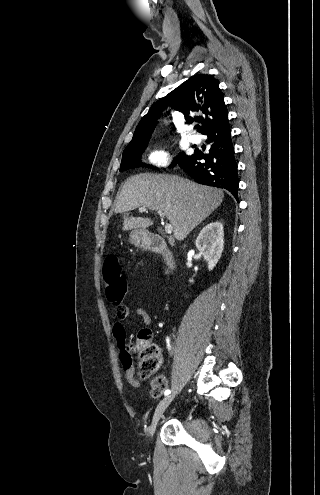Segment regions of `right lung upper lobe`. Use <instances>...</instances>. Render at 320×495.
<instances>
[{"mask_svg":"<svg viewBox=\"0 0 320 495\" xmlns=\"http://www.w3.org/2000/svg\"><path fill=\"white\" fill-rule=\"evenodd\" d=\"M171 106L184 114L186 123H201L199 131L206 132L228 119L224 95L219 88V81L211 75L196 74L182 83L167 96L160 98L141 119L136 127L128 150L148 144L150 136L162 110ZM198 116L193 117V115Z\"/></svg>","mask_w":320,"mask_h":495,"instance_id":"right-lung-upper-lobe-1","label":"right lung upper lobe"}]
</instances>
